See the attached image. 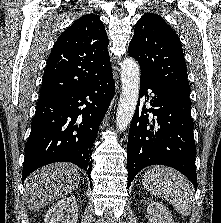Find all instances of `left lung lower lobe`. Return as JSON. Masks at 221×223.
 I'll return each mask as SVG.
<instances>
[{
	"mask_svg": "<svg viewBox=\"0 0 221 223\" xmlns=\"http://www.w3.org/2000/svg\"><path fill=\"white\" fill-rule=\"evenodd\" d=\"M148 90H152V96L147 95ZM144 95L152 106L149 109L140 104ZM190 108L189 95L141 78L139 103L128 137V186L140 170L160 164L180 171L197 188Z\"/></svg>",
	"mask_w": 221,
	"mask_h": 223,
	"instance_id": "left-lung-lower-lobe-1",
	"label": "left lung lower lobe"
}]
</instances>
